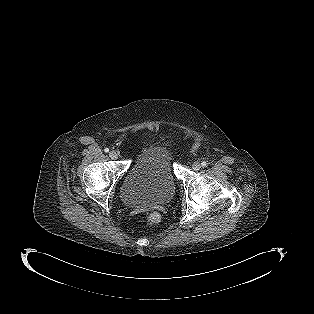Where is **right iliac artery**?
Listing matches in <instances>:
<instances>
[{
    "mask_svg": "<svg viewBox=\"0 0 314 314\" xmlns=\"http://www.w3.org/2000/svg\"><path fill=\"white\" fill-rule=\"evenodd\" d=\"M104 151H105L106 153H108V152H109V148H105Z\"/></svg>",
    "mask_w": 314,
    "mask_h": 314,
    "instance_id": "obj_1",
    "label": "right iliac artery"
}]
</instances>
